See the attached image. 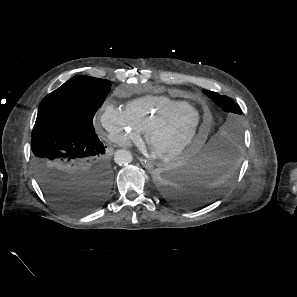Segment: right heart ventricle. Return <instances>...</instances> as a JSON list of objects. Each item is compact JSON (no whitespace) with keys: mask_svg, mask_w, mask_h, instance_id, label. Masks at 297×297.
Segmentation results:
<instances>
[{"mask_svg":"<svg viewBox=\"0 0 297 297\" xmlns=\"http://www.w3.org/2000/svg\"><path fill=\"white\" fill-rule=\"evenodd\" d=\"M184 100H176L164 95H146L130 101L125 111L141 132L162 113L187 105Z\"/></svg>","mask_w":297,"mask_h":297,"instance_id":"e07e8e85","label":"right heart ventricle"}]
</instances>
